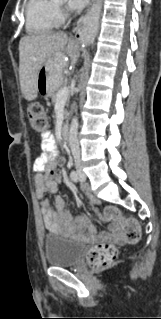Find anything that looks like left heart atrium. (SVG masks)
Segmentation results:
<instances>
[{"instance_id": "1", "label": "left heart atrium", "mask_w": 161, "mask_h": 319, "mask_svg": "<svg viewBox=\"0 0 161 319\" xmlns=\"http://www.w3.org/2000/svg\"><path fill=\"white\" fill-rule=\"evenodd\" d=\"M88 0H68V7L72 10H78L86 6Z\"/></svg>"}]
</instances>
